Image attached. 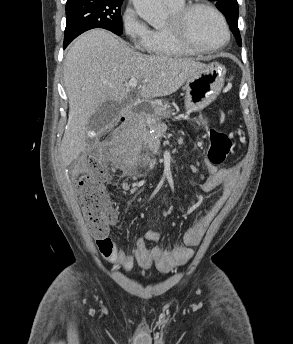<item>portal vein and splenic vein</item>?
<instances>
[{"mask_svg": "<svg viewBox=\"0 0 293 344\" xmlns=\"http://www.w3.org/2000/svg\"><path fill=\"white\" fill-rule=\"evenodd\" d=\"M139 81L135 80V79H130L128 82V85L130 87H136L138 85Z\"/></svg>", "mask_w": 293, "mask_h": 344, "instance_id": "portal-vein-and-splenic-vein-1", "label": "portal vein and splenic vein"}]
</instances>
